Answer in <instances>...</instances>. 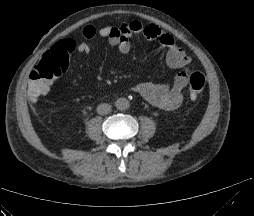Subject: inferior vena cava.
Returning <instances> with one entry per match:
<instances>
[{
  "label": "inferior vena cava",
  "mask_w": 254,
  "mask_h": 216,
  "mask_svg": "<svg viewBox=\"0 0 254 216\" xmlns=\"http://www.w3.org/2000/svg\"><path fill=\"white\" fill-rule=\"evenodd\" d=\"M111 112V105L107 103H102L97 107V113L100 115H107Z\"/></svg>",
  "instance_id": "1"
}]
</instances>
